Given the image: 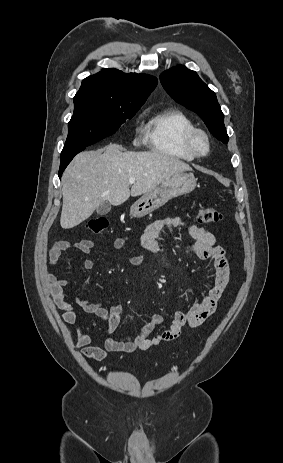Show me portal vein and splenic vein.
I'll list each match as a JSON object with an SVG mask.
<instances>
[{
  "mask_svg": "<svg viewBox=\"0 0 283 463\" xmlns=\"http://www.w3.org/2000/svg\"><path fill=\"white\" fill-rule=\"evenodd\" d=\"M129 183H130V184L135 183V179H134V178H130V179H129Z\"/></svg>",
  "mask_w": 283,
  "mask_h": 463,
  "instance_id": "18ae733b",
  "label": "portal vein and splenic vein"
}]
</instances>
